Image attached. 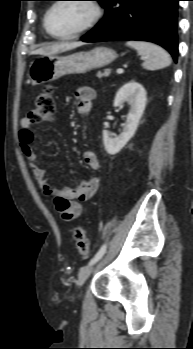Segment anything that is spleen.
I'll use <instances>...</instances> for the list:
<instances>
[{
	"instance_id": "1",
	"label": "spleen",
	"mask_w": 193,
	"mask_h": 349,
	"mask_svg": "<svg viewBox=\"0 0 193 349\" xmlns=\"http://www.w3.org/2000/svg\"><path fill=\"white\" fill-rule=\"evenodd\" d=\"M126 45L137 50L145 58L142 64L147 70H157L171 65L170 55L160 46L144 41H127Z\"/></svg>"
}]
</instances>
